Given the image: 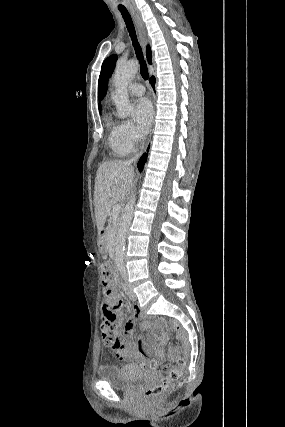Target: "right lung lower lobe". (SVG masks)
I'll list each match as a JSON object with an SVG mask.
<instances>
[{
	"instance_id": "98d812e1",
	"label": "right lung lower lobe",
	"mask_w": 285,
	"mask_h": 427,
	"mask_svg": "<svg viewBox=\"0 0 285 427\" xmlns=\"http://www.w3.org/2000/svg\"><path fill=\"white\" fill-rule=\"evenodd\" d=\"M150 83H151L152 87L154 88V85H155V78L154 77L150 78ZM146 160H147V154H144L140 158V160L138 162V169H139V171L143 170V167H144V164H145Z\"/></svg>"
}]
</instances>
